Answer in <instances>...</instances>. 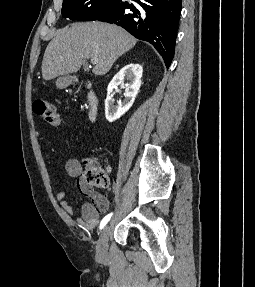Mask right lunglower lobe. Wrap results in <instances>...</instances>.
Instances as JSON below:
<instances>
[{
    "label": "right lung lower lobe",
    "instance_id": "98d812e1",
    "mask_svg": "<svg viewBox=\"0 0 255 287\" xmlns=\"http://www.w3.org/2000/svg\"><path fill=\"white\" fill-rule=\"evenodd\" d=\"M121 1L99 21L114 23L151 43L169 68L174 56L182 0Z\"/></svg>",
    "mask_w": 255,
    "mask_h": 287
}]
</instances>
